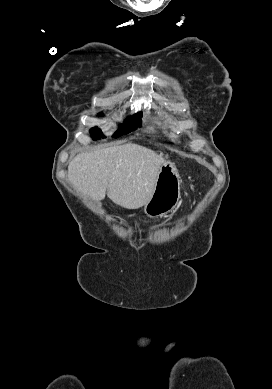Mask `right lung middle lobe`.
<instances>
[{
    "instance_id": "right-lung-middle-lobe-1",
    "label": "right lung middle lobe",
    "mask_w": 272,
    "mask_h": 389,
    "mask_svg": "<svg viewBox=\"0 0 272 389\" xmlns=\"http://www.w3.org/2000/svg\"><path fill=\"white\" fill-rule=\"evenodd\" d=\"M139 125H140V115L135 114L129 117L127 120H125V122L122 125L119 126V129L114 133L113 137L117 138L119 136L127 134L132 130H134ZM90 132L94 140L104 138V135L102 134L99 128H92Z\"/></svg>"
}]
</instances>
